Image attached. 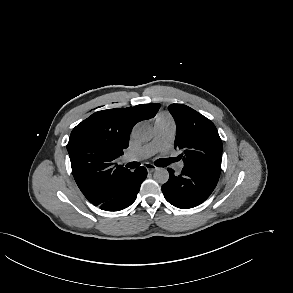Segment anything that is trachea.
Returning <instances> with one entry per match:
<instances>
[{
    "instance_id": "1",
    "label": "trachea",
    "mask_w": 293,
    "mask_h": 293,
    "mask_svg": "<svg viewBox=\"0 0 293 293\" xmlns=\"http://www.w3.org/2000/svg\"><path fill=\"white\" fill-rule=\"evenodd\" d=\"M168 164V161L167 160H164V159H159L155 162V165L158 166V167H164ZM139 166V164L137 162H130L128 164H126V167L128 168H137Z\"/></svg>"
}]
</instances>
